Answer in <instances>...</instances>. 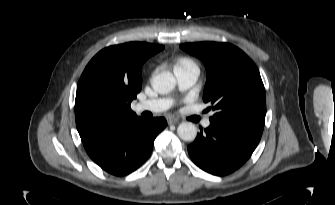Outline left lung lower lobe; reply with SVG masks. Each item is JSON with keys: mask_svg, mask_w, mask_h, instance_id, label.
Wrapping results in <instances>:
<instances>
[{"mask_svg": "<svg viewBox=\"0 0 335 205\" xmlns=\"http://www.w3.org/2000/svg\"><path fill=\"white\" fill-rule=\"evenodd\" d=\"M260 139V133L210 118V126L204 131L201 129L195 141L188 146V152L201 169L223 176L242 166Z\"/></svg>", "mask_w": 335, "mask_h": 205, "instance_id": "0a47b994", "label": "left lung lower lobe"}]
</instances>
